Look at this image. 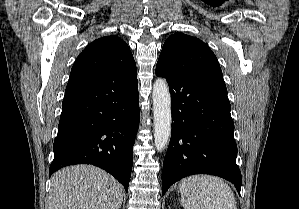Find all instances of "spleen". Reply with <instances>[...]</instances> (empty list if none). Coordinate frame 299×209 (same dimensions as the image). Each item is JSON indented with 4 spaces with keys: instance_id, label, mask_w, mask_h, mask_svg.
<instances>
[{
    "instance_id": "obj_1",
    "label": "spleen",
    "mask_w": 299,
    "mask_h": 209,
    "mask_svg": "<svg viewBox=\"0 0 299 209\" xmlns=\"http://www.w3.org/2000/svg\"><path fill=\"white\" fill-rule=\"evenodd\" d=\"M184 209H237L234 194L222 179L211 175H193L179 183Z\"/></svg>"
}]
</instances>
